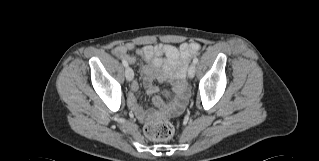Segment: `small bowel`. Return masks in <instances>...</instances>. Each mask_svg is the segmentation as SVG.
<instances>
[{"mask_svg": "<svg viewBox=\"0 0 319 161\" xmlns=\"http://www.w3.org/2000/svg\"><path fill=\"white\" fill-rule=\"evenodd\" d=\"M135 48V44L127 42L113 49V54L129 64H136V59L128 52ZM201 46L197 42H186L179 47L172 44L146 45L137 50L142 60L141 73L146 87V94L153 95L158 91L154 85L155 80L170 81L174 85L175 97L167 103L173 114H179L188 97L186 87V71L190 58L199 54ZM131 89L137 92L139 84L134 81ZM128 104L137 118L141 121L154 120L159 116V108L164 105L160 97H155L154 105L156 110H146L137 103L133 94L128 96Z\"/></svg>", "mask_w": 319, "mask_h": 161, "instance_id": "small-bowel-1", "label": "small bowel"}]
</instances>
